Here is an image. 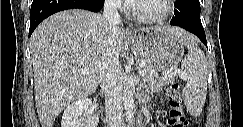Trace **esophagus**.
<instances>
[{"instance_id":"esophagus-1","label":"esophagus","mask_w":243,"mask_h":127,"mask_svg":"<svg viewBox=\"0 0 243 127\" xmlns=\"http://www.w3.org/2000/svg\"><path fill=\"white\" fill-rule=\"evenodd\" d=\"M125 33L126 34H134V29L132 28V27H126V29H125Z\"/></svg>"}]
</instances>
